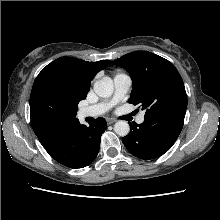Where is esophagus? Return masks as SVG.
<instances>
[{
    "label": "esophagus",
    "mask_w": 220,
    "mask_h": 220,
    "mask_svg": "<svg viewBox=\"0 0 220 220\" xmlns=\"http://www.w3.org/2000/svg\"><path fill=\"white\" fill-rule=\"evenodd\" d=\"M115 122H116L115 119H107V123H108L109 125H111V124H113V123H115Z\"/></svg>",
    "instance_id": "1"
}]
</instances>
